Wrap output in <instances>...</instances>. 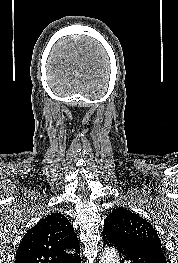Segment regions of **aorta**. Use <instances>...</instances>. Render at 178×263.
<instances>
[{"label": "aorta", "mask_w": 178, "mask_h": 263, "mask_svg": "<svg viewBox=\"0 0 178 263\" xmlns=\"http://www.w3.org/2000/svg\"><path fill=\"white\" fill-rule=\"evenodd\" d=\"M100 263H120L117 251L114 248H106L102 253Z\"/></svg>", "instance_id": "obj_1"}]
</instances>
